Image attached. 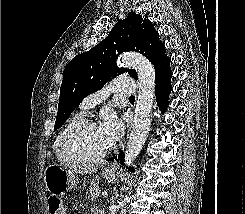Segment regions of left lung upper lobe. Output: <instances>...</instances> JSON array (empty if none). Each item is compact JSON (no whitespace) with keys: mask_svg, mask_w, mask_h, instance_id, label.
Here are the masks:
<instances>
[{"mask_svg":"<svg viewBox=\"0 0 245 214\" xmlns=\"http://www.w3.org/2000/svg\"><path fill=\"white\" fill-rule=\"evenodd\" d=\"M126 51H136L148 58L154 65L156 78L170 66L165 46L150 20L129 13L127 18L115 24L103 41L66 65L54 130L65 122L86 96L101 89L110 78L124 72L138 78L134 69L116 65V57Z\"/></svg>","mask_w":245,"mask_h":214,"instance_id":"obj_1","label":"left lung upper lobe"}]
</instances>
